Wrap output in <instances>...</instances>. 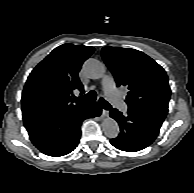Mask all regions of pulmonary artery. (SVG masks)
<instances>
[{
	"instance_id": "1",
	"label": "pulmonary artery",
	"mask_w": 194,
	"mask_h": 193,
	"mask_svg": "<svg viewBox=\"0 0 194 193\" xmlns=\"http://www.w3.org/2000/svg\"><path fill=\"white\" fill-rule=\"evenodd\" d=\"M102 85L107 98L119 110H125L126 105L115 87L113 78L106 75L102 81Z\"/></svg>"
}]
</instances>
